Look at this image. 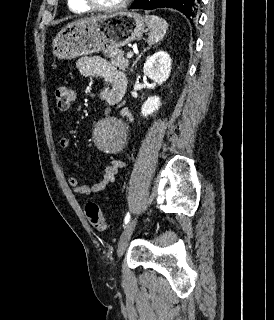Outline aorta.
<instances>
[{
	"instance_id": "762f6f07",
	"label": "aorta",
	"mask_w": 274,
	"mask_h": 320,
	"mask_svg": "<svg viewBox=\"0 0 274 320\" xmlns=\"http://www.w3.org/2000/svg\"><path fill=\"white\" fill-rule=\"evenodd\" d=\"M126 128L116 118H109L98 123L93 131L96 146L105 152H115L122 144Z\"/></svg>"
}]
</instances>
